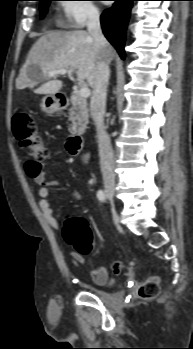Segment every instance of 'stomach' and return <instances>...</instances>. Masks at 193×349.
I'll return each mask as SVG.
<instances>
[{"instance_id":"0dacf381","label":"stomach","mask_w":193,"mask_h":349,"mask_svg":"<svg viewBox=\"0 0 193 349\" xmlns=\"http://www.w3.org/2000/svg\"><path fill=\"white\" fill-rule=\"evenodd\" d=\"M41 109L47 114H53L61 109L58 97L55 94H49L42 98Z\"/></svg>"}]
</instances>
